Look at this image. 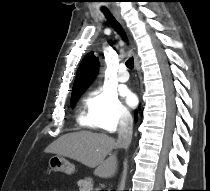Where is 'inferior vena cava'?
Here are the masks:
<instances>
[{"label":"inferior vena cava","instance_id":"obj_1","mask_svg":"<svg viewBox=\"0 0 210 191\" xmlns=\"http://www.w3.org/2000/svg\"><path fill=\"white\" fill-rule=\"evenodd\" d=\"M133 134V118L128 111L120 116L117 145L119 148L128 149Z\"/></svg>","mask_w":210,"mask_h":191}]
</instances>
